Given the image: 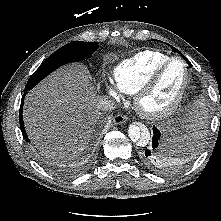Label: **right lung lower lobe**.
I'll return each instance as SVG.
<instances>
[{
    "mask_svg": "<svg viewBox=\"0 0 221 221\" xmlns=\"http://www.w3.org/2000/svg\"><path fill=\"white\" fill-rule=\"evenodd\" d=\"M26 93H27V92H25V93L23 94V97H22V98L25 97ZM22 106H23V101L21 102L20 113H19L20 128H21L23 137L26 139L27 142H29V139H28L27 134H26V132H25L23 120H22Z\"/></svg>",
    "mask_w": 221,
    "mask_h": 221,
    "instance_id": "1",
    "label": "right lung lower lobe"
}]
</instances>
